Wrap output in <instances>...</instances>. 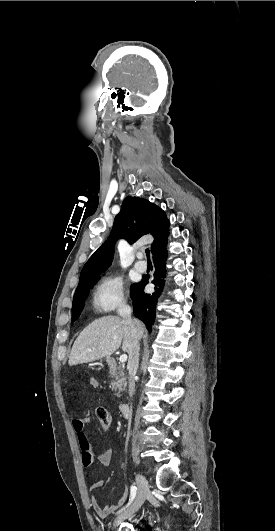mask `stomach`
Segmentation results:
<instances>
[{
    "instance_id": "obj_1",
    "label": "stomach",
    "mask_w": 275,
    "mask_h": 531,
    "mask_svg": "<svg viewBox=\"0 0 275 531\" xmlns=\"http://www.w3.org/2000/svg\"><path fill=\"white\" fill-rule=\"evenodd\" d=\"M106 361H111V357H106Z\"/></svg>"
}]
</instances>
